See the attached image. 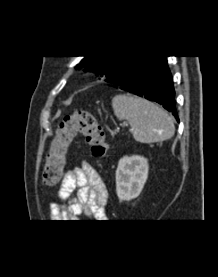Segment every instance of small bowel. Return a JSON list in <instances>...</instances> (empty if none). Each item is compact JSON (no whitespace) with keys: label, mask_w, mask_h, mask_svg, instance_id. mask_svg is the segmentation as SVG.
Segmentation results:
<instances>
[{"label":"small bowel","mask_w":218,"mask_h":277,"mask_svg":"<svg viewBox=\"0 0 218 277\" xmlns=\"http://www.w3.org/2000/svg\"><path fill=\"white\" fill-rule=\"evenodd\" d=\"M74 191L75 197L69 199ZM107 196V187L96 169L83 161L64 175L58 200L50 203V213L54 220H73L81 215L103 220Z\"/></svg>","instance_id":"obj_1"}]
</instances>
